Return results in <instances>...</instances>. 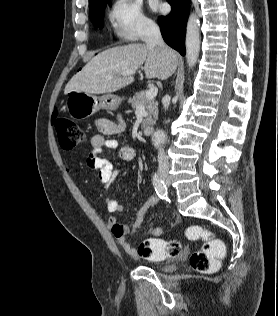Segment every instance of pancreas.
Segmentation results:
<instances>
[{
	"label": "pancreas",
	"mask_w": 278,
	"mask_h": 316,
	"mask_svg": "<svg viewBox=\"0 0 278 316\" xmlns=\"http://www.w3.org/2000/svg\"><path fill=\"white\" fill-rule=\"evenodd\" d=\"M132 108L135 109L138 105L143 104L148 117L143 120L142 128H145L147 125L155 124L158 118V103L153 99H148L145 96V91L136 93L132 98H129L128 101Z\"/></svg>",
	"instance_id": "cf45deb5"
}]
</instances>
